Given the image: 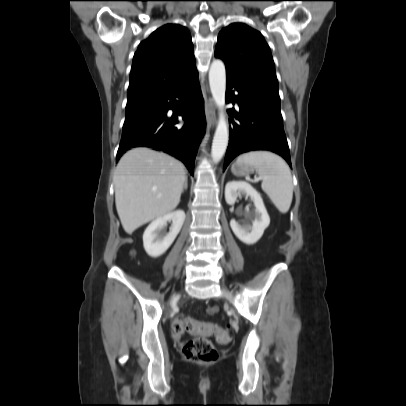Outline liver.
Wrapping results in <instances>:
<instances>
[{
  "instance_id": "6515ba94",
  "label": "liver",
  "mask_w": 406,
  "mask_h": 406,
  "mask_svg": "<svg viewBox=\"0 0 406 406\" xmlns=\"http://www.w3.org/2000/svg\"><path fill=\"white\" fill-rule=\"evenodd\" d=\"M185 167L175 158L135 148L120 159L113 178L118 216L126 233L174 210L180 202Z\"/></svg>"
}]
</instances>
